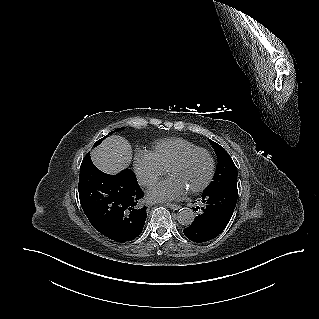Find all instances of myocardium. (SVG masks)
Returning <instances> with one entry per match:
<instances>
[{
  "instance_id": "f54148a6",
  "label": "myocardium",
  "mask_w": 319,
  "mask_h": 319,
  "mask_svg": "<svg viewBox=\"0 0 319 319\" xmlns=\"http://www.w3.org/2000/svg\"><path fill=\"white\" fill-rule=\"evenodd\" d=\"M197 153H204L208 159H209V164H210V167H209V172H208V175L207 177L205 178V180L197 187L189 190V193L191 194H197L201 191H203L204 189H206L209 184L211 183L213 177H214V174H215V159L212 155V153L206 149V148H203V147H196V148H193V149H190V150H187L185 151L181 156H179L176 160H174L170 165L169 167L167 168V173L169 174V172L176 168V167H179L181 166L183 163H185L191 156L197 154Z\"/></svg>"
}]
</instances>
